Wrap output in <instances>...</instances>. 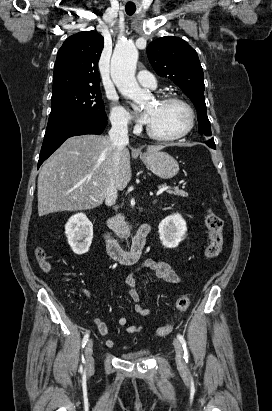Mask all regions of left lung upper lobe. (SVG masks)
<instances>
[{"label": "left lung upper lobe", "mask_w": 272, "mask_h": 411, "mask_svg": "<svg viewBox=\"0 0 272 411\" xmlns=\"http://www.w3.org/2000/svg\"><path fill=\"white\" fill-rule=\"evenodd\" d=\"M147 55L156 73L172 80L190 98L197 110L200 135L210 137L203 69L197 52L183 39L165 36L148 45Z\"/></svg>", "instance_id": "5c2ea615"}]
</instances>
